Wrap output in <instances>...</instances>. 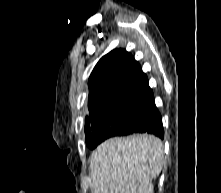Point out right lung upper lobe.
Segmentation results:
<instances>
[{
  "label": "right lung upper lobe",
  "mask_w": 221,
  "mask_h": 193,
  "mask_svg": "<svg viewBox=\"0 0 221 193\" xmlns=\"http://www.w3.org/2000/svg\"><path fill=\"white\" fill-rule=\"evenodd\" d=\"M88 85L90 115L118 101L154 100L147 76L124 49H115L103 56L93 69Z\"/></svg>",
  "instance_id": "right-lung-upper-lobe-1"
}]
</instances>
